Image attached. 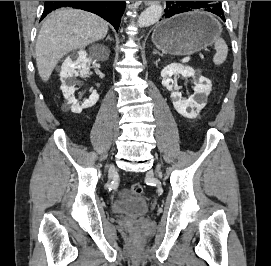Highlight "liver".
Masks as SVG:
<instances>
[{"label": "liver", "instance_id": "6515ba94", "mask_svg": "<svg viewBox=\"0 0 271 266\" xmlns=\"http://www.w3.org/2000/svg\"><path fill=\"white\" fill-rule=\"evenodd\" d=\"M107 32V22L90 12L65 8L50 14L41 27L35 47L41 79L48 81L63 56L103 39Z\"/></svg>", "mask_w": 271, "mask_h": 266}]
</instances>
